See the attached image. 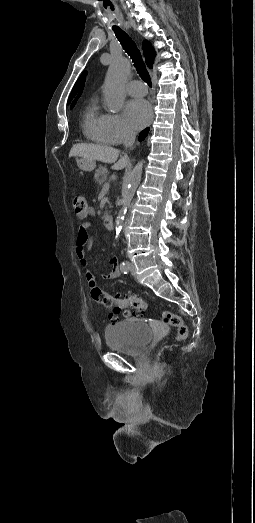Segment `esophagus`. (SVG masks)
I'll use <instances>...</instances> for the list:
<instances>
[{
    "label": "esophagus",
    "mask_w": 255,
    "mask_h": 523,
    "mask_svg": "<svg viewBox=\"0 0 255 523\" xmlns=\"http://www.w3.org/2000/svg\"><path fill=\"white\" fill-rule=\"evenodd\" d=\"M151 115H153V111H151Z\"/></svg>",
    "instance_id": "obj_1"
}]
</instances>
